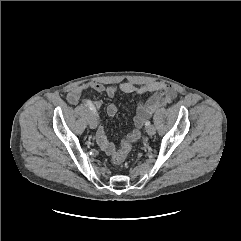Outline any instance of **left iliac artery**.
Segmentation results:
<instances>
[{"label": "left iliac artery", "instance_id": "left-iliac-artery-1", "mask_svg": "<svg viewBox=\"0 0 241 241\" xmlns=\"http://www.w3.org/2000/svg\"><path fill=\"white\" fill-rule=\"evenodd\" d=\"M145 125H146V126H149V125H150V121H146V122H145Z\"/></svg>", "mask_w": 241, "mask_h": 241}]
</instances>
